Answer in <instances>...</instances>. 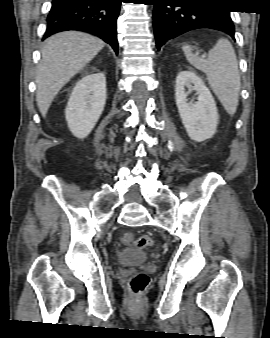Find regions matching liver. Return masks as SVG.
I'll return each instance as SVG.
<instances>
[{
	"label": "liver",
	"mask_w": 270,
	"mask_h": 338,
	"mask_svg": "<svg viewBox=\"0 0 270 338\" xmlns=\"http://www.w3.org/2000/svg\"><path fill=\"white\" fill-rule=\"evenodd\" d=\"M101 39L67 31L45 41L36 72V102L42 116L62 87L81 71L104 47Z\"/></svg>",
	"instance_id": "obj_1"
}]
</instances>
